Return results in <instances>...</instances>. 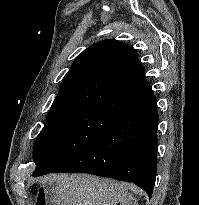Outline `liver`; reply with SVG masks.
Returning <instances> with one entry per match:
<instances>
[{"label":"liver","instance_id":"6515ba94","mask_svg":"<svg viewBox=\"0 0 199 205\" xmlns=\"http://www.w3.org/2000/svg\"><path fill=\"white\" fill-rule=\"evenodd\" d=\"M57 205H129L128 186L91 175H53Z\"/></svg>","mask_w":199,"mask_h":205}]
</instances>
